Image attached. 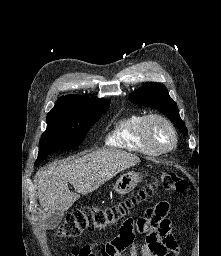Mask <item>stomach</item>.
Returning a JSON list of instances; mask_svg holds the SVG:
<instances>
[{"instance_id":"stomach-1","label":"stomach","mask_w":221,"mask_h":256,"mask_svg":"<svg viewBox=\"0 0 221 256\" xmlns=\"http://www.w3.org/2000/svg\"><path fill=\"white\" fill-rule=\"evenodd\" d=\"M140 181L139 173L127 172L119 177L113 188L119 195H125L132 191Z\"/></svg>"}]
</instances>
